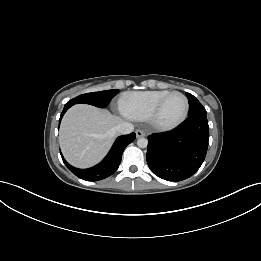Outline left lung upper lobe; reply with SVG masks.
<instances>
[{"label":"left lung upper lobe","mask_w":261,"mask_h":261,"mask_svg":"<svg viewBox=\"0 0 261 261\" xmlns=\"http://www.w3.org/2000/svg\"><path fill=\"white\" fill-rule=\"evenodd\" d=\"M189 102V116L196 114H206L203 105L190 93H186Z\"/></svg>","instance_id":"left-lung-upper-lobe-1"}]
</instances>
